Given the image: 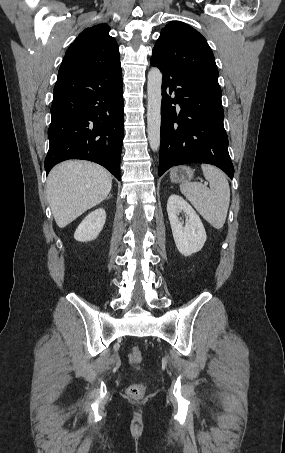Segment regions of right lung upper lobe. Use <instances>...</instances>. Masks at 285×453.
<instances>
[{"mask_svg":"<svg viewBox=\"0 0 285 453\" xmlns=\"http://www.w3.org/2000/svg\"><path fill=\"white\" fill-rule=\"evenodd\" d=\"M107 24L86 28L69 46L58 74L111 73L121 69L117 42Z\"/></svg>","mask_w":285,"mask_h":453,"instance_id":"cb5924a9","label":"right lung upper lobe"}]
</instances>
